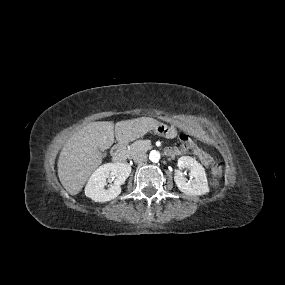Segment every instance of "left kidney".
Returning <instances> with one entry per match:
<instances>
[{
    "label": "left kidney",
    "instance_id": "left-kidney-1",
    "mask_svg": "<svg viewBox=\"0 0 285 285\" xmlns=\"http://www.w3.org/2000/svg\"><path fill=\"white\" fill-rule=\"evenodd\" d=\"M178 167L189 169L190 176L194 178L187 182L180 170L175 172L174 180L181 192L188 195H204L209 192L205 169L199 162L192 157L182 156L178 159Z\"/></svg>",
    "mask_w": 285,
    "mask_h": 285
}]
</instances>
